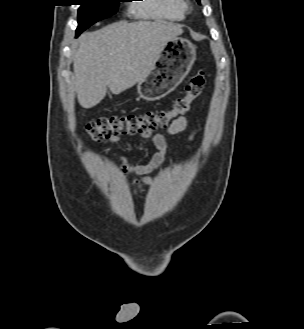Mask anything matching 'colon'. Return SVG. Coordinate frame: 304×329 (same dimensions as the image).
I'll return each mask as SVG.
<instances>
[{"label":"colon","instance_id":"obj_1","mask_svg":"<svg viewBox=\"0 0 304 329\" xmlns=\"http://www.w3.org/2000/svg\"><path fill=\"white\" fill-rule=\"evenodd\" d=\"M205 83V72L197 71L186 86V94L177 98L171 109L148 111L140 115L102 117L88 124L87 134L95 141L119 135H149L187 113L191 103L202 93Z\"/></svg>","mask_w":304,"mask_h":329}]
</instances>
